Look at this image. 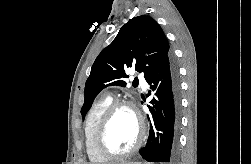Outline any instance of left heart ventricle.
<instances>
[{"label":"left heart ventricle","instance_id":"1","mask_svg":"<svg viewBox=\"0 0 251 164\" xmlns=\"http://www.w3.org/2000/svg\"><path fill=\"white\" fill-rule=\"evenodd\" d=\"M138 138V124L134 114L127 108L118 109L109 124L105 142L117 153L129 150Z\"/></svg>","mask_w":251,"mask_h":164}]
</instances>
